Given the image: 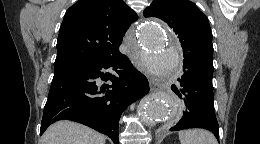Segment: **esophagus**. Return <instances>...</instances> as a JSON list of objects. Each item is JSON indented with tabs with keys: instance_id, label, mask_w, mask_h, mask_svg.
<instances>
[{
	"instance_id": "esophagus-1",
	"label": "esophagus",
	"mask_w": 260,
	"mask_h": 144,
	"mask_svg": "<svg viewBox=\"0 0 260 144\" xmlns=\"http://www.w3.org/2000/svg\"><path fill=\"white\" fill-rule=\"evenodd\" d=\"M157 85V82L156 81H153L152 79H150V87H151V90L155 89V86Z\"/></svg>"
}]
</instances>
